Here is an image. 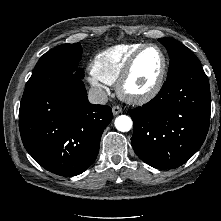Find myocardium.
<instances>
[{
  "mask_svg": "<svg viewBox=\"0 0 221 221\" xmlns=\"http://www.w3.org/2000/svg\"><path fill=\"white\" fill-rule=\"evenodd\" d=\"M148 48H156L159 53L161 54L162 63L160 71L153 83V85L146 91L142 93H129L125 86L128 80L130 79L133 69L135 67L136 62L138 61L139 57L146 51ZM167 72V57L164 50L157 44L149 43L144 44L142 47L137 49L127 61L124 69L122 70L121 74L119 75L116 81V92L118 96L133 104H144L152 100L161 90L164 79Z\"/></svg>",
  "mask_w": 221,
  "mask_h": 221,
  "instance_id": "obj_1",
  "label": "myocardium"
}]
</instances>
